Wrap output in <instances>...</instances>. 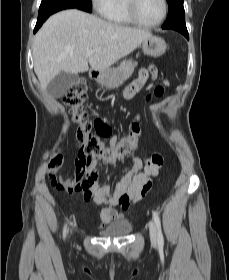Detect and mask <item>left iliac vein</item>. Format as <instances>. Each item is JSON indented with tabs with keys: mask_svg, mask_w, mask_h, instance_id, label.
I'll list each match as a JSON object with an SVG mask.
<instances>
[{
	"mask_svg": "<svg viewBox=\"0 0 229 280\" xmlns=\"http://www.w3.org/2000/svg\"><path fill=\"white\" fill-rule=\"evenodd\" d=\"M149 232H150L151 242L153 244H156L157 243V228H156L154 221L149 222Z\"/></svg>",
	"mask_w": 229,
	"mask_h": 280,
	"instance_id": "4c4485c4",
	"label": "left iliac vein"
}]
</instances>
